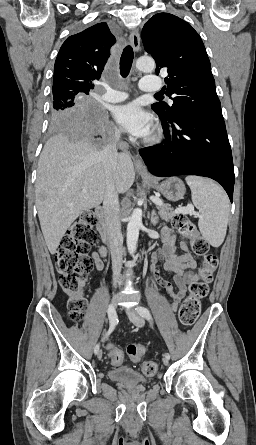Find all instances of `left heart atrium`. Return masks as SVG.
I'll use <instances>...</instances> for the list:
<instances>
[{"label":"left heart atrium","mask_w":256,"mask_h":445,"mask_svg":"<svg viewBox=\"0 0 256 445\" xmlns=\"http://www.w3.org/2000/svg\"><path fill=\"white\" fill-rule=\"evenodd\" d=\"M113 116L116 122L133 136L146 137L151 132V116L136 103L115 107Z\"/></svg>","instance_id":"obj_1"}]
</instances>
